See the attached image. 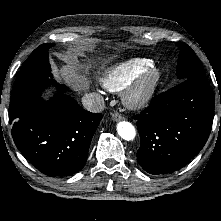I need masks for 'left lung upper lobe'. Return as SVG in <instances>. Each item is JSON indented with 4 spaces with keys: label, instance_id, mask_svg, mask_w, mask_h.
Returning a JSON list of instances; mask_svg holds the SVG:
<instances>
[{
    "label": "left lung upper lobe",
    "instance_id": "1",
    "mask_svg": "<svg viewBox=\"0 0 221 221\" xmlns=\"http://www.w3.org/2000/svg\"><path fill=\"white\" fill-rule=\"evenodd\" d=\"M176 45L180 49L177 77L180 81L189 78H206L203 67L196 57L194 51L185 43L177 42Z\"/></svg>",
    "mask_w": 221,
    "mask_h": 221
}]
</instances>
